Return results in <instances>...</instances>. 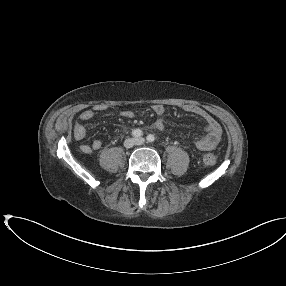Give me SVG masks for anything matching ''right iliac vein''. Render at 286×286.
Returning <instances> with one entry per match:
<instances>
[{
	"mask_svg": "<svg viewBox=\"0 0 286 286\" xmlns=\"http://www.w3.org/2000/svg\"><path fill=\"white\" fill-rule=\"evenodd\" d=\"M136 143V140L134 138H128L124 141V147L127 149L132 148Z\"/></svg>",
	"mask_w": 286,
	"mask_h": 286,
	"instance_id": "63e3f726",
	"label": "right iliac vein"
}]
</instances>
